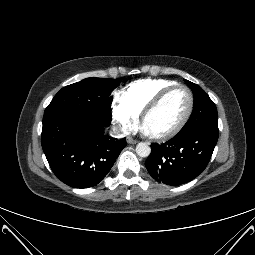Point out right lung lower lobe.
I'll use <instances>...</instances> for the list:
<instances>
[{
  "mask_svg": "<svg viewBox=\"0 0 255 255\" xmlns=\"http://www.w3.org/2000/svg\"><path fill=\"white\" fill-rule=\"evenodd\" d=\"M95 118L74 111H59L43 117L41 144L54 174L74 188L96 186L112 168L126 139L104 133Z\"/></svg>",
  "mask_w": 255,
  "mask_h": 255,
  "instance_id": "obj_1",
  "label": "right lung lower lobe"
}]
</instances>
